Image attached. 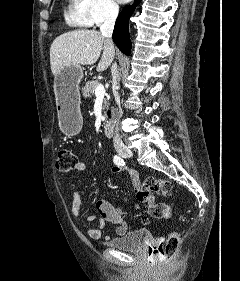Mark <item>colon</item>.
Masks as SVG:
<instances>
[{
	"label": "colon",
	"mask_w": 240,
	"mask_h": 281,
	"mask_svg": "<svg viewBox=\"0 0 240 281\" xmlns=\"http://www.w3.org/2000/svg\"><path fill=\"white\" fill-rule=\"evenodd\" d=\"M78 159L75 153L69 149L59 151L56 168L60 172H69L76 168ZM137 191V199L145 203L149 214L154 218H169L171 209L164 203L156 201V195L169 197L173 194V186L167 180L149 177L140 184ZM180 247V235L177 232L170 233L164 241L159 242L150 250V254L156 257L157 263L167 266L177 254Z\"/></svg>",
	"instance_id": "5ec220e1"
}]
</instances>
